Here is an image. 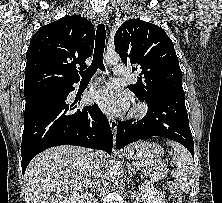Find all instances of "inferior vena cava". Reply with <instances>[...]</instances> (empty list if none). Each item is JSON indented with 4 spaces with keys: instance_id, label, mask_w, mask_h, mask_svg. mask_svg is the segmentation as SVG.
I'll list each match as a JSON object with an SVG mask.
<instances>
[{
    "instance_id": "1",
    "label": "inferior vena cava",
    "mask_w": 222,
    "mask_h": 203,
    "mask_svg": "<svg viewBox=\"0 0 222 203\" xmlns=\"http://www.w3.org/2000/svg\"><path fill=\"white\" fill-rule=\"evenodd\" d=\"M90 170L92 173L94 184H97L99 178L102 177V171H103L102 165L98 160H94L91 163Z\"/></svg>"
}]
</instances>
